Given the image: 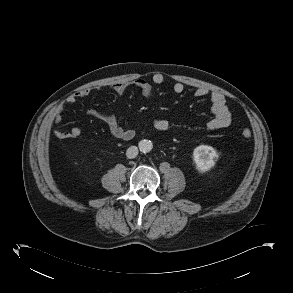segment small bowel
<instances>
[{
  "label": "small bowel",
  "instance_id": "c3829d8e",
  "mask_svg": "<svg viewBox=\"0 0 293 293\" xmlns=\"http://www.w3.org/2000/svg\"><path fill=\"white\" fill-rule=\"evenodd\" d=\"M163 82L164 76L161 73H155L152 75L151 80L137 78L130 83L117 82L110 85V89L121 95L129 86H135L141 90L143 96L146 98H152L155 94V86L161 85ZM172 89L175 93L181 94L184 92V85L180 82H176L173 84ZM90 93V88L81 89L69 96L66 103L73 104L78 99L87 97ZM194 95L198 98H208L210 101L213 117L205 124V127L208 130L213 131L222 129L230 125L231 113L226 99L222 94L217 92H209L205 88H198L194 91ZM63 111V104H60L54 108L48 115V123L51 125L59 124L62 120ZM86 114L105 123L110 134L117 139L129 141L134 137V131L121 126L114 115H109L93 108H88ZM154 128L158 131H166L169 128V123L165 119H157L154 121ZM80 134L81 129L79 127H73L70 131H55V135L60 139L77 138Z\"/></svg>",
  "mask_w": 293,
  "mask_h": 293
}]
</instances>
